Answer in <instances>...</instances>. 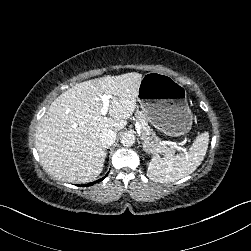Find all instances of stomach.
Masks as SVG:
<instances>
[{
	"instance_id": "stomach-1",
	"label": "stomach",
	"mask_w": 251,
	"mask_h": 251,
	"mask_svg": "<svg viewBox=\"0 0 251 251\" xmlns=\"http://www.w3.org/2000/svg\"><path fill=\"white\" fill-rule=\"evenodd\" d=\"M136 100L148 120L165 133L186 132L192 115L185 88L170 75L146 73L138 86Z\"/></svg>"
}]
</instances>
